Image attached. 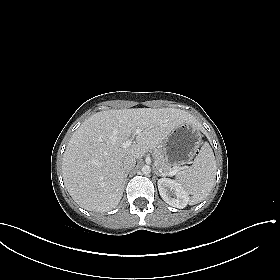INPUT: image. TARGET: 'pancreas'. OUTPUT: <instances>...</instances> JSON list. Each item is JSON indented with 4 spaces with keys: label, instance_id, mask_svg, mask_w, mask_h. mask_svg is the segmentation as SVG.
Listing matches in <instances>:
<instances>
[{
    "label": "pancreas",
    "instance_id": "cf45deb5",
    "mask_svg": "<svg viewBox=\"0 0 280 280\" xmlns=\"http://www.w3.org/2000/svg\"><path fill=\"white\" fill-rule=\"evenodd\" d=\"M153 157L156 167L165 172V174L173 169L172 165L166 160L162 149L156 148L153 152Z\"/></svg>",
    "mask_w": 280,
    "mask_h": 280
}]
</instances>
